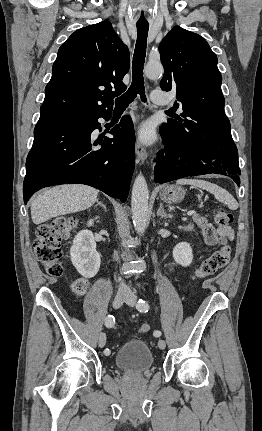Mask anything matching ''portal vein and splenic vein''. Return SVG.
<instances>
[{
	"mask_svg": "<svg viewBox=\"0 0 262 431\" xmlns=\"http://www.w3.org/2000/svg\"><path fill=\"white\" fill-rule=\"evenodd\" d=\"M194 213H195V211H194V210H190V211H188V212H187V215H188V216H191V215H193Z\"/></svg>",
	"mask_w": 262,
	"mask_h": 431,
	"instance_id": "obj_1",
	"label": "portal vein and splenic vein"
}]
</instances>
